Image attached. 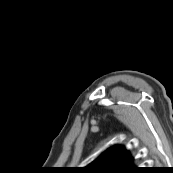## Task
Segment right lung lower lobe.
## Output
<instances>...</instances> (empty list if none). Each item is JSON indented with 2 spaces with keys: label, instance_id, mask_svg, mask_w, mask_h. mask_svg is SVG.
Here are the masks:
<instances>
[{
  "label": "right lung lower lobe",
  "instance_id": "obj_1",
  "mask_svg": "<svg viewBox=\"0 0 173 173\" xmlns=\"http://www.w3.org/2000/svg\"><path fill=\"white\" fill-rule=\"evenodd\" d=\"M128 173H143V170L137 167H134L132 170H130Z\"/></svg>",
  "mask_w": 173,
  "mask_h": 173
}]
</instances>
